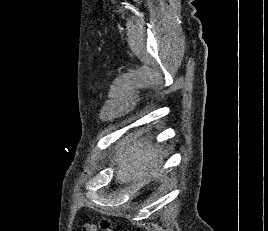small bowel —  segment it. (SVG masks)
I'll return each instance as SVG.
<instances>
[{"label":"small bowel","instance_id":"1","mask_svg":"<svg viewBox=\"0 0 268 231\" xmlns=\"http://www.w3.org/2000/svg\"><path fill=\"white\" fill-rule=\"evenodd\" d=\"M82 231H98L96 225L92 223H84L82 226Z\"/></svg>","mask_w":268,"mask_h":231}]
</instances>
